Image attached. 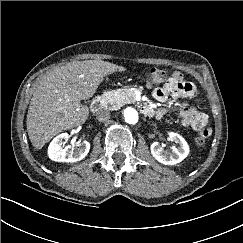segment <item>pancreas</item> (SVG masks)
Wrapping results in <instances>:
<instances>
[{
  "mask_svg": "<svg viewBox=\"0 0 243 243\" xmlns=\"http://www.w3.org/2000/svg\"><path fill=\"white\" fill-rule=\"evenodd\" d=\"M107 107L118 109L124 104L131 103L135 100V93L132 90L118 89L107 91L102 96Z\"/></svg>",
  "mask_w": 243,
  "mask_h": 243,
  "instance_id": "1",
  "label": "pancreas"
}]
</instances>
